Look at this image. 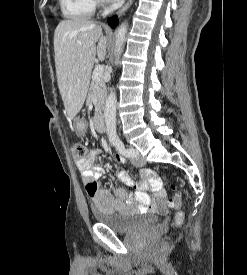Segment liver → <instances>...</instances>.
Masks as SVG:
<instances>
[{
  "mask_svg": "<svg viewBox=\"0 0 247 275\" xmlns=\"http://www.w3.org/2000/svg\"><path fill=\"white\" fill-rule=\"evenodd\" d=\"M97 43V45H96ZM107 38L101 26L72 18L60 21L54 32L55 67L58 88L70 120L83 107L91 71L97 55L106 56Z\"/></svg>",
  "mask_w": 247,
  "mask_h": 275,
  "instance_id": "1",
  "label": "liver"
}]
</instances>
